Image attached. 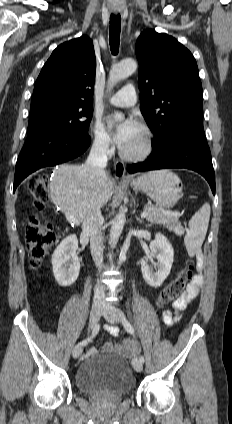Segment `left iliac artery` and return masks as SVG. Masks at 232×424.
Instances as JSON below:
<instances>
[{"label": "left iliac artery", "instance_id": "left-iliac-artery-1", "mask_svg": "<svg viewBox=\"0 0 232 424\" xmlns=\"http://www.w3.org/2000/svg\"><path fill=\"white\" fill-rule=\"evenodd\" d=\"M122 323H123V326H124V328L126 329V331H128V332H129L130 334H132V335H134V334H135L134 328H133V326L130 324V322H128L126 319H124ZM139 360H140L142 363H144V361H145L144 356H140Z\"/></svg>", "mask_w": 232, "mask_h": 424}]
</instances>
